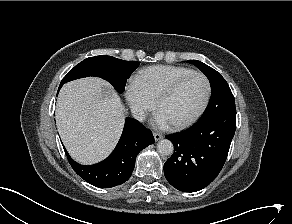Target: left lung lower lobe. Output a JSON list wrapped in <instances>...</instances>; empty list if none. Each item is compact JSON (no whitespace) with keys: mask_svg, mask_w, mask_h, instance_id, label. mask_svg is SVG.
<instances>
[{"mask_svg":"<svg viewBox=\"0 0 292 224\" xmlns=\"http://www.w3.org/2000/svg\"><path fill=\"white\" fill-rule=\"evenodd\" d=\"M235 129L236 110H229L165 136L175 146L164 164L168 182L183 192L199 191L209 185L226 161Z\"/></svg>","mask_w":292,"mask_h":224,"instance_id":"0a47b994","label":"left lung lower lobe"}]
</instances>
